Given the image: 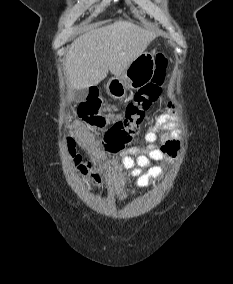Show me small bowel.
<instances>
[{
	"label": "small bowel",
	"instance_id": "1",
	"mask_svg": "<svg viewBox=\"0 0 233 284\" xmlns=\"http://www.w3.org/2000/svg\"><path fill=\"white\" fill-rule=\"evenodd\" d=\"M175 117L176 107L170 102L155 122L146 129L147 144L133 146L120 153L119 159L108 161L103 170H94L90 182L118 191L126 183L128 175L134 177L140 187H146L151 180L161 177L164 167L152 165L151 162L172 160L177 156L180 144L174 138L172 131ZM76 135L81 143L90 139L88 130L81 124L76 127Z\"/></svg>",
	"mask_w": 233,
	"mask_h": 284
}]
</instances>
